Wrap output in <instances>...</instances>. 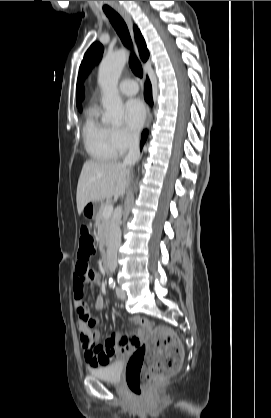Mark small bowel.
Here are the masks:
<instances>
[{
	"mask_svg": "<svg viewBox=\"0 0 271 418\" xmlns=\"http://www.w3.org/2000/svg\"><path fill=\"white\" fill-rule=\"evenodd\" d=\"M98 283L99 277L96 270H91V261L77 260L76 271L73 277V303L75 313L77 314L76 321L84 349V357L92 367H100L112 362L125 355L140 342L138 336L113 333L106 339L104 344H97L101 333L98 329H91L96 327V320L89 319L90 306L86 305L84 294L86 286L96 287ZM94 306L97 311L103 309L104 299L102 295L95 297ZM130 321L133 324L145 325V321L139 317H133Z\"/></svg>",
	"mask_w": 271,
	"mask_h": 418,
	"instance_id": "small-bowel-1",
	"label": "small bowel"
}]
</instances>
